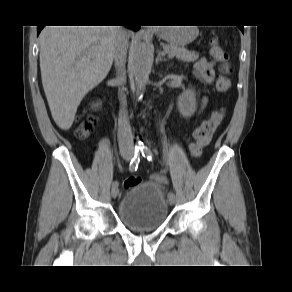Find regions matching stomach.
Masks as SVG:
<instances>
[{"label":"stomach","instance_id":"0dacf381","mask_svg":"<svg viewBox=\"0 0 292 292\" xmlns=\"http://www.w3.org/2000/svg\"><path fill=\"white\" fill-rule=\"evenodd\" d=\"M158 34L171 45L183 46L197 37L198 30L195 27H166Z\"/></svg>","mask_w":292,"mask_h":292}]
</instances>
